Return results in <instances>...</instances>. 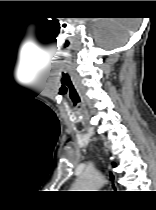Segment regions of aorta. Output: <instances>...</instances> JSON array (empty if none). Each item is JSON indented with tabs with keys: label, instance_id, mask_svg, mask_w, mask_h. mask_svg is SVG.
<instances>
[{
	"label": "aorta",
	"instance_id": "aorta-1",
	"mask_svg": "<svg viewBox=\"0 0 156 210\" xmlns=\"http://www.w3.org/2000/svg\"><path fill=\"white\" fill-rule=\"evenodd\" d=\"M103 184L102 175L96 170L84 171L76 180L74 185L77 191H94L99 189Z\"/></svg>",
	"mask_w": 156,
	"mask_h": 210
}]
</instances>
